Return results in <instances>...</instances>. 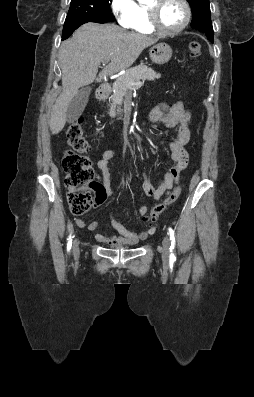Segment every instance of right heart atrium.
I'll list each match as a JSON object with an SVG mask.
<instances>
[{
	"label": "right heart atrium",
	"mask_w": 254,
	"mask_h": 397,
	"mask_svg": "<svg viewBox=\"0 0 254 397\" xmlns=\"http://www.w3.org/2000/svg\"><path fill=\"white\" fill-rule=\"evenodd\" d=\"M111 10L120 26L132 28L138 11L135 0H111Z\"/></svg>",
	"instance_id": "obj_1"
}]
</instances>
